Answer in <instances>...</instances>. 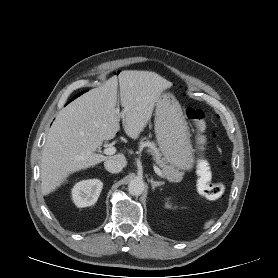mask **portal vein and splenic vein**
Instances as JSON below:
<instances>
[{"label": "portal vein and splenic vein", "instance_id": "obj_1", "mask_svg": "<svg viewBox=\"0 0 278 278\" xmlns=\"http://www.w3.org/2000/svg\"><path fill=\"white\" fill-rule=\"evenodd\" d=\"M115 153H116V148L113 147V146H109V147L104 149V154H106V155H113ZM154 171L158 176H160L161 178L166 179L164 174L161 172V170L157 166H154Z\"/></svg>", "mask_w": 278, "mask_h": 278}]
</instances>
